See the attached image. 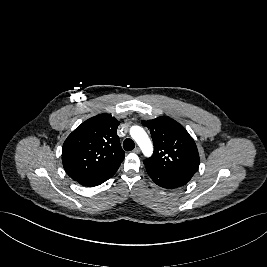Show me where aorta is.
<instances>
[{
	"label": "aorta",
	"mask_w": 267,
	"mask_h": 267,
	"mask_svg": "<svg viewBox=\"0 0 267 267\" xmlns=\"http://www.w3.org/2000/svg\"><path fill=\"white\" fill-rule=\"evenodd\" d=\"M130 135L137 142L143 154L150 157L153 153V145L145 130L140 126H132Z\"/></svg>",
	"instance_id": "1"
}]
</instances>
